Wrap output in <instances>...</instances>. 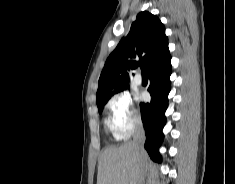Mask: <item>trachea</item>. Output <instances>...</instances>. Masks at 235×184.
Here are the masks:
<instances>
[{
    "instance_id": "3493384b",
    "label": "trachea",
    "mask_w": 235,
    "mask_h": 184,
    "mask_svg": "<svg viewBox=\"0 0 235 184\" xmlns=\"http://www.w3.org/2000/svg\"><path fill=\"white\" fill-rule=\"evenodd\" d=\"M141 73L143 77H146L145 72H144V65H141Z\"/></svg>"
}]
</instances>
